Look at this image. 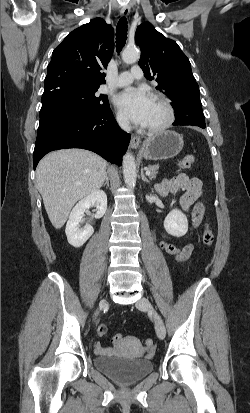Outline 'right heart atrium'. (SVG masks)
I'll return each instance as SVG.
<instances>
[{
  "instance_id": "1",
  "label": "right heart atrium",
  "mask_w": 250,
  "mask_h": 413,
  "mask_svg": "<svg viewBox=\"0 0 250 413\" xmlns=\"http://www.w3.org/2000/svg\"><path fill=\"white\" fill-rule=\"evenodd\" d=\"M116 121H117L118 125L121 128H123V129H128L129 128V121L126 118V116L124 114H122L121 112L117 113Z\"/></svg>"
}]
</instances>
